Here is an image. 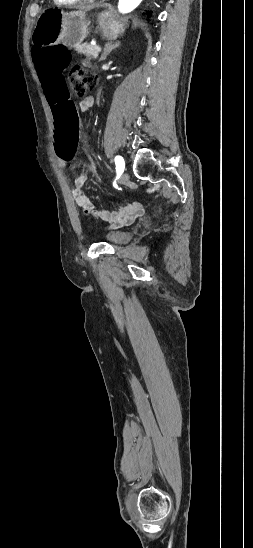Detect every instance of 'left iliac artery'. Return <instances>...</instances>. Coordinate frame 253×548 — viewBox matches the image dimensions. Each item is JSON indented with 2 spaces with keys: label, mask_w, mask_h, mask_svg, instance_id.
<instances>
[{
  "label": "left iliac artery",
  "mask_w": 253,
  "mask_h": 548,
  "mask_svg": "<svg viewBox=\"0 0 253 548\" xmlns=\"http://www.w3.org/2000/svg\"><path fill=\"white\" fill-rule=\"evenodd\" d=\"M115 164H116L117 173L122 174L125 167L124 159L121 156L117 155L115 157Z\"/></svg>",
  "instance_id": "1"
}]
</instances>
